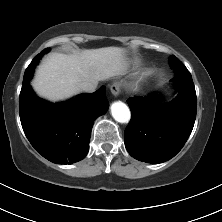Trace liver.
<instances>
[{
    "label": "liver",
    "mask_w": 222,
    "mask_h": 222,
    "mask_svg": "<svg viewBox=\"0 0 222 222\" xmlns=\"http://www.w3.org/2000/svg\"><path fill=\"white\" fill-rule=\"evenodd\" d=\"M125 65L126 50L120 47L52 53L36 70L32 86L49 101L65 100L80 92V83L119 75Z\"/></svg>",
    "instance_id": "liver-1"
}]
</instances>
